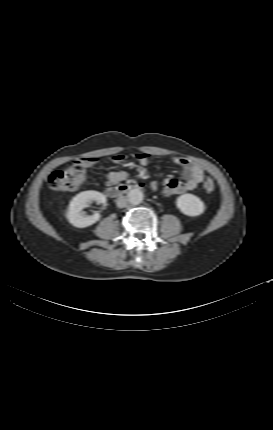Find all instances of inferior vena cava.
<instances>
[{
	"mask_svg": "<svg viewBox=\"0 0 273 430\" xmlns=\"http://www.w3.org/2000/svg\"><path fill=\"white\" fill-rule=\"evenodd\" d=\"M127 205H128V200H127V198L125 196L118 197V199H117V206L119 208H125V207H127Z\"/></svg>",
	"mask_w": 273,
	"mask_h": 430,
	"instance_id": "1",
	"label": "inferior vena cava"
}]
</instances>
